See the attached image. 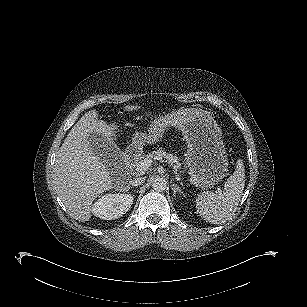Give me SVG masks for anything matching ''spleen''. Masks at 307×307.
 Returning <instances> with one entry per match:
<instances>
[{
  "mask_svg": "<svg viewBox=\"0 0 307 307\" xmlns=\"http://www.w3.org/2000/svg\"><path fill=\"white\" fill-rule=\"evenodd\" d=\"M245 186V169L241 159L225 182L223 193L204 191L196 199V212L211 224H222L237 210Z\"/></svg>",
  "mask_w": 307,
  "mask_h": 307,
  "instance_id": "3e777b00",
  "label": "spleen"
}]
</instances>
